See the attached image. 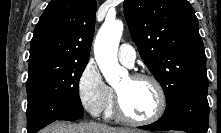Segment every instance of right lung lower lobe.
Listing matches in <instances>:
<instances>
[{
	"mask_svg": "<svg viewBox=\"0 0 221 133\" xmlns=\"http://www.w3.org/2000/svg\"><path fill=\"white\" fill-rule=\"evenodd\" d=\"M83 114L84 109L79 105L66 104L56 107L37 100H28L27 132L37 133L55 120L75 121L82 118Z\"/></svg>",
	"mask_w": 221,
	"mask_h": 133,
	"instance_id": "1",
	"label": "right lung lower lobe"
}]
</instances>
